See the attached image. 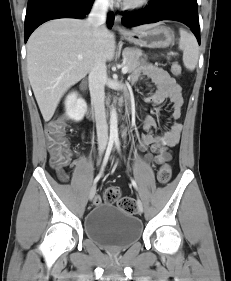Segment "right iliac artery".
<instances>
[{"mask_svg": "<svg viewBox=\"0 0 231 281\" xmlns=\"http://www.w3.org/2000/svg\"><path fill=\"white\" fill-rule=\"evenodd\" d=\"M113 144H114V139L113 138H110L109 139V142H108V146H107V149H106V153L104 155V158H103V162H102V166H101V170L99 172V174L95 177L94 179V185L98 182V180L100 179L103 171H104V168L108 162V159H109V156L111 154V151H112V148H113Z\"/></svg>", "mask_w": 231, "mask_h": 281, "instance_id": "right-iliac-artery-1", "label": "right iliac artery"}]
</instances>
